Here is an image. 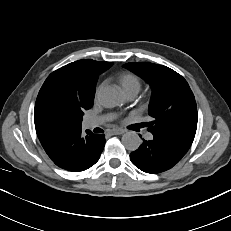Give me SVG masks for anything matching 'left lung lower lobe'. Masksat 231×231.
<instances>
[{
	"label": "left lung lower lobe",
	"mask_w": 231,
	"mask_h": 231,
	"mask_svg": "<svg viewBox=\"0 0 231 231\" xmlns=\"http://www.w3.org/2000/svg\"><path fill=\"white\" fill-rule=\"evenodd\" d=\"M191 144L182 139L153 134L151 140H143L142 145L130 154V160L143 172L161 173L177 164Z\"/></svg>",
	"instance_id": "0a47b994"
}]
</instances>
